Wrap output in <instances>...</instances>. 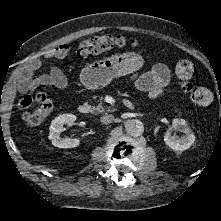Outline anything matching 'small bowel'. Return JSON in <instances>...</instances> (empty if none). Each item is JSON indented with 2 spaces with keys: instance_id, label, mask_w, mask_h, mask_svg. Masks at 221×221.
I'll return each instance as SVG.
<instances>
[{
  "instance_id": "1",
  "label": "small bowel",
  "mask_w": 221,
  "mask_h": 221,
  "mask_svg": "<svg viewBox=\"0 0 221 221\" xmlns=\"http://www.w3.org/2000/svg\"><path fill=\"white\" fill-rule=\"evenodd\" d=\"M70 50L71 47L68 44H64L46 51L40 57L32 59L25 66L20 76V92H31L40 86L60 89L68 88L69 80L58 68H51L47 73L41 75H35V73L40 69L44 60L64 57ZM169 84L170 72L167 66L162 63L155 64L151 70L136 80V86L152 99L163 93L169 87Z\"/></svg>"
}]
</instances>
